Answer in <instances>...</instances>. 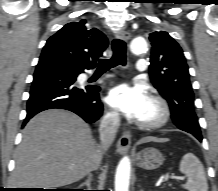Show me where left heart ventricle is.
I'll return each mask as SVG.
<instances>
[{
  "label": "left heart ventricle",
  "instance_id": "obj_1",
  "mask_svg": "<svg viewBox=\"0 0 218 191\" xmlns=\"http://www.w3.org/2000/svg\"><path fill=\"white\" fill-rule=\"evenodd\" d=\"M157 114L156 107L152 104L151 101L145 107L142 115L140 116L139 120H150L153 119Z\"/></svg>",
  "mask_w": 218,
  "mask_h": 191
}]
</instances>
